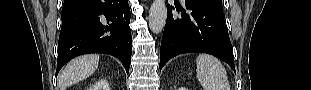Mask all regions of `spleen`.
I'll list each match as a JSON object with an SVG mask.
<instances>
[{
  "mask_svg": "<svg viewBox=\"0 0 311 90\" xmlns=\"http://www.w3.org/2000/svg\"><path fill=\"white\" fill-rule=\"evenodd\" d=\"M196 64V75L204 90H230L226 70L217 58L200 54Z\"/></svg>",
  "mask_w": 311,
  "mask_h": 90,
  "instance_id": "spleen-1",
  "label": "spleen"
}]
</instances>
